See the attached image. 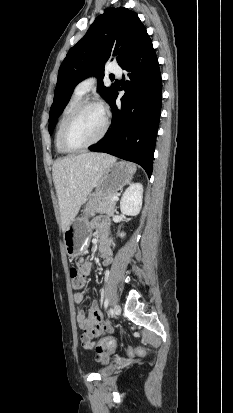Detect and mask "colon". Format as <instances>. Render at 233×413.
Segmentation results:
<instances>
[{
    "label": "colon",
    "mask_w": 233,
    "mask_h": 413,
    "mask_svg": "<svg viewBox=\"0 0 233 413\" xmlns=\"http://www.w3.org/2000/svg\"><path fill=\"white\" fill-rule=\"evenodd\" d=\"M70 277H71V283L72 287L74 290H81L85 286V277L81 273L80 269L77 267H72L70 269ZM113 342V339L111 337H105L103 338L99 344L96 346L95 351L100 352L103 351L111 346ZM127 354L130 357L140 355L144 352L142 347H128L126 349Z\"/></svg>",
    "instance_id": "5ec220e1"
}]
</instances>
